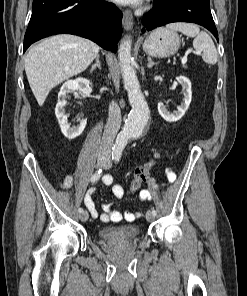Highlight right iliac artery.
<instances>
[{
	"label": "right iliac artery",
	"mask_w": 247,
	"mask_h": 296,
	"mask_svg": "<svg viewBox=\"0 0 247 296\" xmlns=\"http://www.w3.org/2000/svg\"><path fill=\"white\" fill-rule=\"evenodd\" d=\"M114 155V153H112V156ZM102 175V169H99L98 171H96L92 177H91V182H96ZM78 212L79 213H82L83 212V208H79L78 209Z\"/></svg>",
	"instance_id": "82829eb1"
}]
</instances>
